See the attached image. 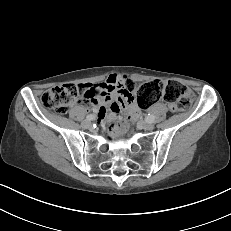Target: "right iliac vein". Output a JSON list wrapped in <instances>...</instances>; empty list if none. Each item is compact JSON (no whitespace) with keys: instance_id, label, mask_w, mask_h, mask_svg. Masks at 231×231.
Here are the masks:
<instances>
[{"instance_id":"obj_1","label":"right iliac vein","mask_w":231,"mask_h":231,"mask_svg":"<svg viewBox=\"0 0 231 231\" xmlns=\"http://www.w3.org/2000/svg\"><path fill=\"white\" fill-rule=\"evenodd\" d=\"M81 126L83 128H89L91 127V122L89 120H84L82 123H81Z\"/></svg>"}]
</instances>
